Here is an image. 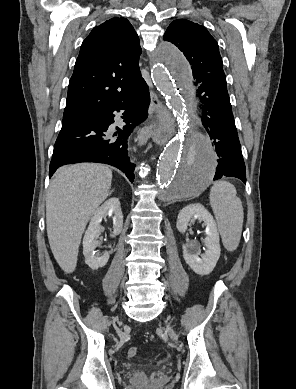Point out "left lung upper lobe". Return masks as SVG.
Segmentation results:
<instances>
[{"mask_svg":"<svg viewBox=\"0 0 296 389\" xmlns=\"http://www.w3.org/2000/svg\"><path fill=\"white\" fill-rule=\"evenodd\" d=\"M164 40L183 52L195 81L201 77L225 75L218 44L203 26L186 19L174 20L167 28Z\"/></svg>","mask_w":296,"mask_h":389,"instance_id":"5c2ea615","label":"left lung upper lobe"}]
</instances>
